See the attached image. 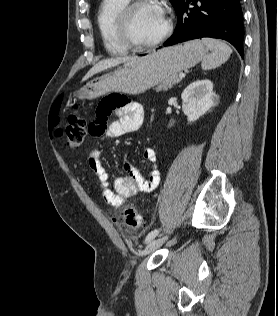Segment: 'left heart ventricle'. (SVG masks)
I'll return each instance as SVG.
<instances>
[{"label": "left heart ventricle", "instance_id": "left-heart-ventricle-1", "mask_svg": "<svg viewBox=\"0 0 278 316\" xmlns=\"http://www.w3.org/2000/svg\"><path fill=\"white\" fill-rule=\"evenodd\" d=\"M166 26L165 16L155 4L139 7L133 14L131 30L139 42H151L161 35Z\"/></svg>", "mask_w": 278, "mask_h": 316}]
</instances>
